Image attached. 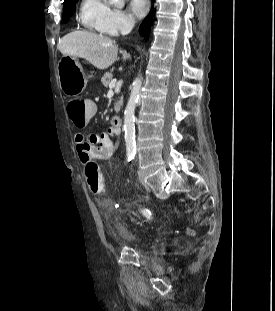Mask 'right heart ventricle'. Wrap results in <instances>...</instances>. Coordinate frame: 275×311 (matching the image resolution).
<instances>
[{"label":"right heart ventricle","mask_w":275,"mask_h":311,"mask_svg":"<svg viewBox=\"0 0 275 311\" xmlns=\"http://www.w3.org/2000/svg\"><path fill=\"white\" fill-rule=\"evenodd\" d=\"M109 10L106 0H82L78 11L79 23L87 31L105 34L103 24Z\"/></svg>","instance_id":"right-heart-ventricle-1"}]
</instances>
